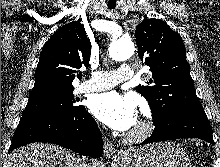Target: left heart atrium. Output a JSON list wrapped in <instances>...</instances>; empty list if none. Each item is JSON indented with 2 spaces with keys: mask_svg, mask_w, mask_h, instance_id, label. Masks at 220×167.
Segmentation results:
<instances>
[{
  "mask_svg": "<svg viewBox=\"0 0 220 167\" xmlns=\"http://www.w3.org/2000/svg\"><path fill=\"white\" fill-rule=\"evenodd\" d=\"M89 109L99 121L118 131H127L136 123V101L116 91L95 95L89 103Z\"/></svg>",
  "mask_w": 220,
  "mask_h": 167,
  "instance_id": "obj_1",
  "label": "left heart atrium"
}]
</instances>
